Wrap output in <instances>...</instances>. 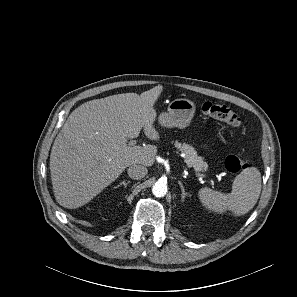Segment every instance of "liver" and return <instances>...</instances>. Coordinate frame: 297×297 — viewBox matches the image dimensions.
<instances>
[{
	"mask_svg": "<svg viewBox=\"0 0 297 297\" xmlns=\"http://www.w3.org/2000/svg\"><path fill=\"white\" fill-rule=\"evenodd\" d=\"M163 86L141 93H123L88 101L76 108L57 135L50 154L56 201L75 209L88 203L129 166H152L154 145L128 146L143 129L160 138L153 124L154 104Z\"/></svg>",
	"mask_w": 297,
	"mask_h": 297,
	"instance_id": "obj_1",
	"label": "liver"
}]
</instances>
